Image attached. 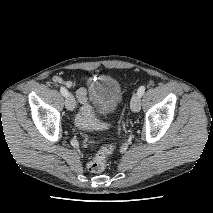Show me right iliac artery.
Instances as JSON below:
<instances>
[{
    "mask_svg": "<svg viewBox=\"0 0 213 213\" xmlns=\"http://www.w3.org/2000/svg\"><path fill=\"white\" fill-rule=\"evenodd\" d=\"M60 92L63 96H67L68 95V90L65 87H61L60 88Z\"/></svg>",
    "mask_w": 213,
    "mask_h": 213,
    "instance_id": "82829eb1",
    "label": "right iliac artery"
}]
</instances>
